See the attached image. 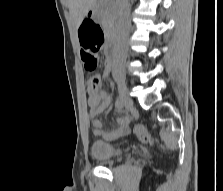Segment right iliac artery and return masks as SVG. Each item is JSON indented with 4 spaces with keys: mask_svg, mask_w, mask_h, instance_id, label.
<instances>
[{
    "mask_svg": "<svg viewBox=\"0 0 223 191\" xmlns=\"http://www.w3.org/2000/svg\"><path fill=\"white\" fill-rule=\"evenodd\" d=\"M115 105H116V107L118 109L121 110L123 108V106H124V103L122 102V100L120 98H118L117 101H116V103H115Z\"/></svg>",
    "mask_w": 223,
    "mask_h": 191,
    "instance_id": "obj_1",
    "label": "right iliac artery"
}]
</instances>
